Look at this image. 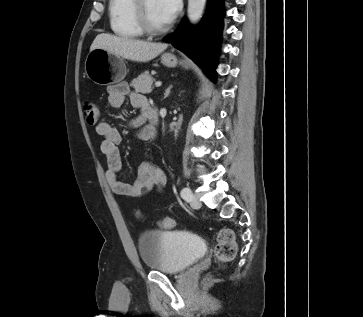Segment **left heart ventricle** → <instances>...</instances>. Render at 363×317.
<instances>
[{
	"mask_svg": "<svg viewBox=\"0 0 363 317\" xmlns=\"http://www.w3.org/2000/svg\"><path fill=\"white\" fill-rule=\"evenodd\" d=\"M145 9L148 20L154 27H162L167 24L158 0H146Z\"/></svg>",
	"mask_w": 363,
	"mask_h": 317,
	"instance_id": "obj_1",
	"label": "left heart ventricle"
}]
</instances>
